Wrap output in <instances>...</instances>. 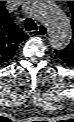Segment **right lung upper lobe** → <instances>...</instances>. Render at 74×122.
<instances>
[{"mask_svg":"<svg viewBox=\"0 0 74 122\" xmlns=\"http://www.w3.org/2000/svg\"><path fill=\"white\" fill-rule=\"evenodd\" d=\"M5 2L0 1V67L12 58L18 45L28 39V35L11 20Z\"/></svg>","mask_w":74,"mask_h":122,"instance_id":"obj_1","label":"right lung upper lobe"}]
</instances>
